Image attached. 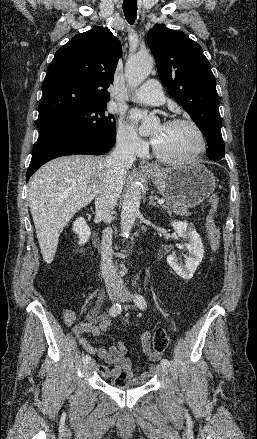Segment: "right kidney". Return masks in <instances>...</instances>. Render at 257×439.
I'll use <instances>...</instances> for the list:
<instances>
[{
    "label": "right kidney",
    "mask_w": 257,
    "mask_h": 439,
    "mask_svg": "<svg viewBox=\"0 0 257 439\" xmlns=\"http://www.w3.org/2000/svg\"><path fill=\"white\" fill-rule=\"evenodd\" d=\"M73 231L79 237V244H85L91 235L90 228L88 227L84 218L79 217L73 222Z\"/></svg>",
    "instance_id": "obj_1"
}]
</instances>
